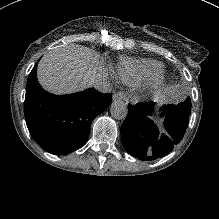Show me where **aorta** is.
<instances>
[{
    "label": "aorta",
    "instance_id": "obj_1",
    "mask_svg": "<svg viewBox=\"0 0 219 219\" xmlns=\"http://www.w3.org/2000/svg\"><path fill=\"white\" fill-rule=\"evenodd\" d=\"M110 114L114 119L123 120L128 115V107L122 100H114L110 105Z\"/></svg>",
    "mask_w": 219,
    "mask_h": 219
}]
</instances>
